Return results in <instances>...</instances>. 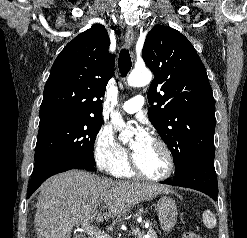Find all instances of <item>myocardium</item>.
Returning a JSON list of instances; mask_svg holds the SVG:
<instances>
[{"label": "myocardium", "mask_w": 247, "mask_h": 238, "mask_svg": "<svg viewBox=\"0 0 247 238\" xmlns=\"http://www.w3.org/2000/svg\"><path fill=\"white\" fill-rule=\"evenodd\" d=\"M151 140L162 149L166 157L167 169L165 173L160 176H150V175L145 174L144 172L141 171V169L137 165L136 160L133 155H131L130 157V168L133 174L142 180L151 181V182L165 181L173 174V171L175 168V161H174L172 151L162 139L158 137H152Z\"/></svg>", "instance_id": "f54148a6"}]
</instances>
